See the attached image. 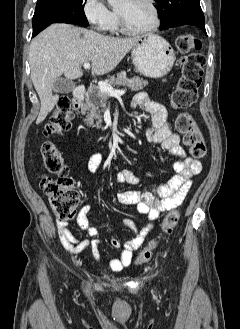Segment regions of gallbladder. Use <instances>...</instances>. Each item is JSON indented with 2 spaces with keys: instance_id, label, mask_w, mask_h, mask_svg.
I'll use <instances>...</instances> for the list:
<instances>
[{
  "instance_id": "1",
  "label": "gallbladder",
  "mask_w": 240,
  "mask_h": 329,
  "mask_svg": "<svg viewBox=\"0 0 240 329\" xmlns=\"http://www.w3.org/2000/svg\"><path fill=\"white\" fill-rule=\"evenodd\" d=\"M76 87L75 82L66 78H59L53 84V91L56 93L68 94Z\"/></svg>"
}]
</instances>
